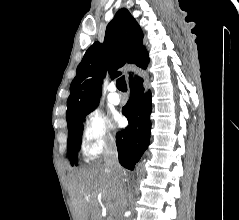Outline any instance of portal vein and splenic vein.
<instances>
[{
	"label": "portal vein and splenic vein",
	"instance_id": "1",
	"mask_svg": "<svg viewBox=\"0 0 239 220\" xmlns=\"http://www.w3.org/2000/svg\"><path fill=\"white\" fill-rule=\"evenodd\" d=\"M111 208H113V205L112 204H109Z\"/></svg>",
	"mask_w": 239,
	"mask_h": 220
}]
</instances>
